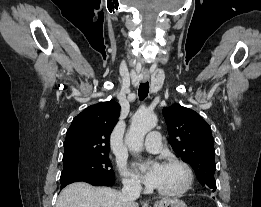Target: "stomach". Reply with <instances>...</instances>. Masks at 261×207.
Listing matches in <instances>:
<instances>
[{
    "mask_svg": "<svg viewBox=\"0 0 261 207\" xmlns=\"http://www.w3.org/2000/svg\"><path fill=\"white\" fill-rule=\"evenodd\" d=\"M154 207H187V205L177 198H163L157 201Z\"/></svg>",
    "mask_w": 261,
    "mask_h": 207,
    "instance_id": "0dacf381",
    "label": "stomach"
}]
</instances>
